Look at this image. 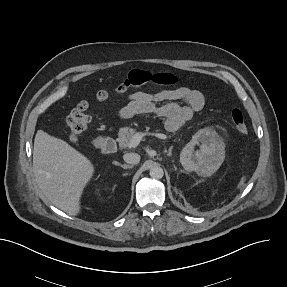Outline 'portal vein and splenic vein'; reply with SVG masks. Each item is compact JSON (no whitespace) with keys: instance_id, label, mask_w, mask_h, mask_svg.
Listing matches in <instances>:
<instances>
[{"instance_id":"1","label":"portal vein and splenic vein","mask_w":287,"mask_h":287,"mask_svg":"<svg viewBox=\"0 0 287 287\" xmlns=\"http://www.w3.org/2000/svg\"><path fill=\"white\" fill-rule=\"evenodd\" d=\"M147 133H136L135 135L132 136L130 143H129V147L130 148H135L137 147V145L140 143V141L142 140V138L146 135ZM149 135L155 136L157 138L160 139H167V136L165 134H161V133H148Z\"/></svg>"}]
</instances>
